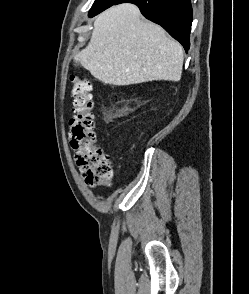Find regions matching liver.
Wrapping results in <instances>:
<instances>
[{
  "mask_svg": "<svg viewBox=\"0 0 249 294\" xmlns=\"http://www.w3.org/2000/svg\"><path fill=\"white\" fill-rule=\"evenodd\" d=\"M75 58L99 81L123 86L179 81L184 51L159 25L142 20L137 6L124 3L98 15L89 44Z\"/></svg>",
  "mask_w": 249,
  "mask_h": 294,
  "instance_id": "liver-1",
  "label": "liver"
}]
</instances>
